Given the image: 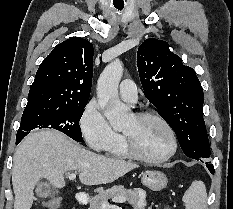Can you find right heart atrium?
Here are the masks:
<instances>
[{
  "instance_id": "1",
  "label": "right heart atrium",
  "mask_w": 233,
  "mask_h": 209,
  "mask_svg": "<svg viewBox=\"0 0 233 209\" xmlns=\"http://www.w3.org/2000/svg\"><path fill=\"white\" fill-rule=\"evenodd\" d=\"M79 125L87 145L95 151H105L121 138L111 127L95 99L84 107Z\"/></svg>"
}]
</instances>
